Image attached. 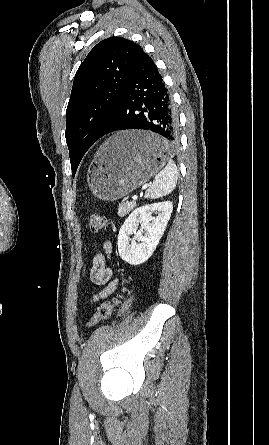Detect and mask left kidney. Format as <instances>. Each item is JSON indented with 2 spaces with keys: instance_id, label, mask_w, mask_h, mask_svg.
<instances>
[{
  "instance_id": "1",
  "label": "left kidney",
  "mask_w": 269,
  "mask_h": 445,
  "mask_svg": "<svg viewBox=\"0 0 269 445\" xmlns=\"http://www.w3.org/2000/svg\"><path fill=\"white\" fill-rule=\"evenodd\" d=\"M172 210L173 204L170 201L135 209L119 231L117 244L120 257L131 265H140L147 261L166 229ZM153 213L157 216L152 217ZM139 224L141 229L137 231ZM131 234L135 236L130 242Z\"/></svg>"
}]
</instances>
